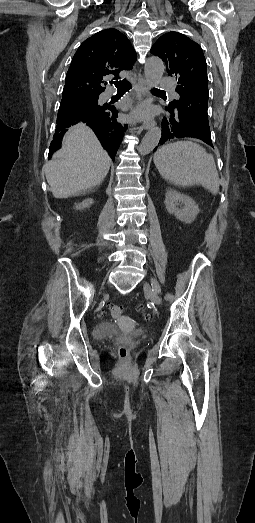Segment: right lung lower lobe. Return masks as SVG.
Segmentation results:
<instances>
[{
  "mask_svg": "<svg viewBox=\"0 0 255 523\" xmlns=\"http://www.w3.org/2000/svg\"><path fill=\"white\" fill-rule=\"evenodd\" d=\"M79 116H80V118H82V119H87V118H89V116H90V111H89V109H87V108H82V109H80V111H79ZM91 116H92L93 118H96V117L98 116V113H97L96 111H93V112L91 113Z\"/></svg>",
  "mask_w": 255,
  "mask_h": 523,
  "instance_id": "obj_1",
  "label": "right lung lower lobe"
}]
</instances>
